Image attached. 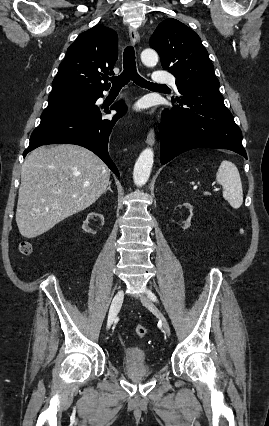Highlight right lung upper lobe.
I'll return each mask as SVG.
<instances>
[{
    "mask_svg": "<svg viewBox=\"0 0 269 426\" xmlns=\"http://www.w3.org/2000/svg\"><path fill=\"white\" fill-rule=\"evenodd\" d=\"M118 58V37L110 28L96 25L81 33L70 45L52 82V92L108 90L105 75H113Z\"/></svg>",
    "mask_w": 269,
    "mask_h": 426,
    "instance_id": "obj_1",
    "label": "right lung upper lobe"
}]
</instances>
